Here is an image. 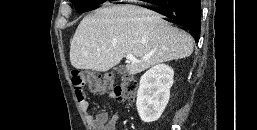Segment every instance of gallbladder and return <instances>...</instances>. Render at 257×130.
I'll use <instances>...</instances> for the list:
<instances>
[{"label":"gallbladder","mask_w":257,"mask_h":130,"mask_svg":"<svg viewBox=\"0 0 257 130\" xmlns=\"http://www.w3.org/2000/svg\"><path fill=\"white\" fill-rule=\"evenodd\" d=\"M116 70H117V73H118V74H124L125 71H126V69H125L124 66H119V67H117Z\"/></svg>","instance_id":"bac80fb5"}]
</instances>
